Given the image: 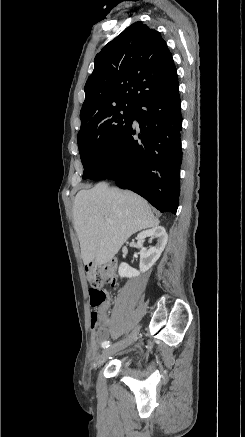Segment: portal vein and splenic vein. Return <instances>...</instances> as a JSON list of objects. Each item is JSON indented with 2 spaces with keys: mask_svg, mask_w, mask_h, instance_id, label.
Listing matches in <instances>:
<instances>
[{
  "mask_svg": "<svg viewBox=\"0 0 245 437\" xmlns=\"http://www.w3.org/2000/svg\"><path fill=\"white\" fill-rule=\"evenodd\" d=\"M106 222H107V223H111V220H110V219H107Z\"/></svg>",
  "mask_w": 245,
  "mask_h": 437,
  "instance_id": "18ae733b",
  "label": "portal vein and splenic vein"
}]
</instances>
